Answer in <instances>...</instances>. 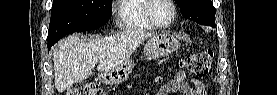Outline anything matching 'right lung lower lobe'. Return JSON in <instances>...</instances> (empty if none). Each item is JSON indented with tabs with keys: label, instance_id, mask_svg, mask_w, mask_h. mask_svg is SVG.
<instances>
[{
	"label": "right lung lower lobe",
	"instance_id": "obj_1",
	"mask_svg": "<svg viewBox=\"0 0 277 95\" xmlns=\"http://www.w3.org/2000/svg\"><path fill=\"white\" fill-rule=\"evenodd\" d=\"M52 45H53L52 43H48L47 47H48L49 50L52 47Z\"/></svg>",
	"mask_w": 277,
	"mask_h": 95
}]
</instances>
